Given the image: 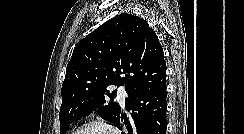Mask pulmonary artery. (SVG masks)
<instances>
[{"instance_id": "e3ab8cb5", "label": "pulmonary artery", "mask_w": 244, "mask_h": 134, "mask_svg": "<svg viewBox=\"0 0 244 134\" xmlns=\"http://www.w3.org/2000/svg\"><path fill=\"white\" fill-rule=\"evenodd\" d=\"M117 94H118V99L122 105H124L125 102V97H126V92L125 88L123 86L117 87Z\"/></svg>"}]
</instances>
